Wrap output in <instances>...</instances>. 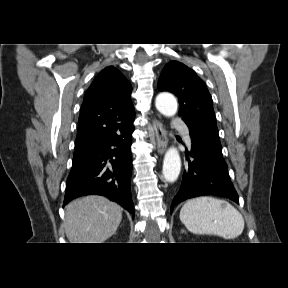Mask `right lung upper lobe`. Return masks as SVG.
<instances>
[{
    "label": "right lung upper lobe",
    "instance_id": "cb5924a9",
    "mask_svg": "<svg viewBox=\"0 0 288 288\" xmlns=\"http://www.w3.org/2000/svg\"><path fill=\"white\" fill-rule=\"evenodd\" d=\"M130 82L113 66L103 69L85 93L74 157L106 142L133 124Z\"/></svg>",
    "mask_w": 288,
    "mask_h": 288
}]
</instances>
